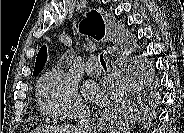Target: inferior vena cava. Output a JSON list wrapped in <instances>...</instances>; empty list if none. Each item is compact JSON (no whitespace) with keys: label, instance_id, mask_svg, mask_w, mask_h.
Listing matches in <instances>:
<instances>
[{"label":"inferior vena cava","instance_id":"602c4592","mask_svg":"<svg viewBox=\"0 0 184 133\" xmlns=\"http://www.w3.org/2000/svg\"><path fill=\"white\" fill-rule=\"evenodd\" d=\"M76 132L77 133H93L91 114L85 107H80L75 113Z\"/></svg>","mask_w":184,"mask_h":133}]
</instances>
